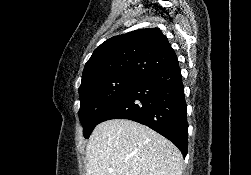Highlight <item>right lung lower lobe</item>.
Listing matches in <instances>:
<instances>
[{
    "label": "right lung lower lobe",
    "mask_w": 251,
    "mask_h": 175,
    "mask_svg": "<svg viewBox=\"0 0 251 175\" xmlns=\"http://www.w3.org/2000/svg\"><path fill=\"white\" fill-rule=\"evenodd\" d=\"M144 124L172 141L185 157L188 123L179 65L141 79L100 117Z\"/></svg>",
    "instance_id": "1"
}]
</instances>
